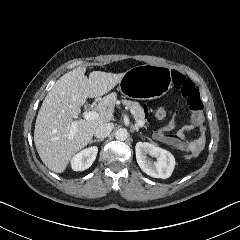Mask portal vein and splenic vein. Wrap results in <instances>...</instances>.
I'll use <instances>...</instances> for the list:
<instances>
[{"instance_id": "18ae733b", "label": "portal vein and splenic vein", "mask_w": 240, "mask_h": 240, "mask_svg": "<svg viewBox=\"0 0 240 240\" xmlns=\"http://www.w3.org/2000/svg\"><path fill=\"white\" fill-rule=\"evenodd\" d=\"M100 117H101V114L95 111H89L85 114V119L91 120V121L98 120ZM136 123L143 127L145 126V122L143 120L137 119ZM76 129H77V126L74 125L69 132V136H73L76 132Z\"/></svg>"}]
</instances>
